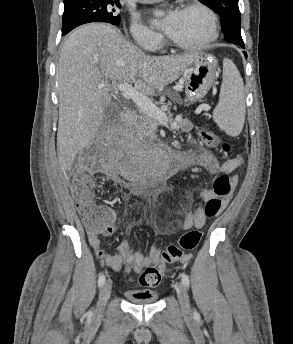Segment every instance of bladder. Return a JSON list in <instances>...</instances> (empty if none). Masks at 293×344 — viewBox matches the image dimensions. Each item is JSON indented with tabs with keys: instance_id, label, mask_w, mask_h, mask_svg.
Masks as SVG:
<instances>
[{
	"instance_id": "1",
	"label": "bladder",
	"mask_w": 293,
	"mask_h": 344,
	"mask_svg": "<svg viewBox=\"0 0 293 344\" xmlns=\"http://www.w3.org/2000/svg\"><path fill=\"white\" fill-rule=\"evenodd\" d=\"M124 295L130 302L138 305H150L158 300V293L144 290H126Z\"/></svg>"
}]
</instances>
